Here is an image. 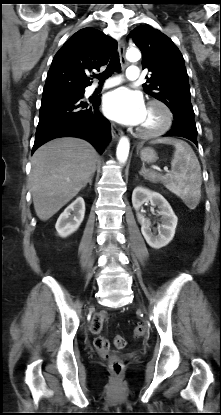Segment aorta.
<instances>
[{"label": "aorta", "mask_w": 221, "mask_h": 415, "mask_svg": "<svg viewBox=\"0 0 221 415\" xmlns=\"http://www.w3.org/2000/svg\"><path fill=\"white\" fill-rule=\"evenodd\" d=\"M141 57L140 51L137 48H130L126 52V58L129 61H137ZM130 149V142L127 137H122L118 143L116 156L120 163L124 164L127 161Z\"/></svg>", "instance_id": "1"}]
</instances>
